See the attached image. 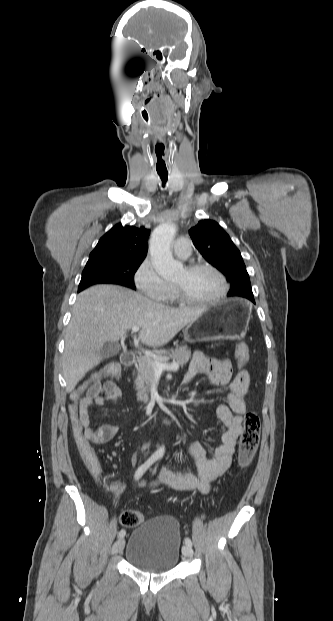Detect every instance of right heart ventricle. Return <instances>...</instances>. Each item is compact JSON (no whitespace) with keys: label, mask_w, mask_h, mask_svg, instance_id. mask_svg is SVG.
<instances>
[{"label":"right heart ventricle","mask_w":333,"mask_h":621,"mask_svg":"<svg viewBox=\"0 0 333 621\" xmlns=\"http://www.w3.org/2000/svg\"><path fill=\"white\" fill-rule=\"evenodd\" d=\"M164 301L167 302V303H175V302L178 301L176 296H175V294H174L172 286H171L167 296L165 297Z\"/></svg>","instance_id":"obj_1"}]
</instances>
